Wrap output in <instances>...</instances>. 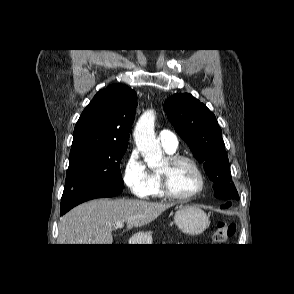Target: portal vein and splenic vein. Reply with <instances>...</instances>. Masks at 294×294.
I'll return each instance as SVG.
<instances>
[{
  "label": "portal vein and splenic vein",
  "instance_id": "18ae733b",
  "mask_svg": "<svg viewBox=\"0 0 294 294\" xmlns=\"http://www.w3.org/2000/svg\"><path fill=\"white\" fill-rule=\"evenodd\" d=\"M124 227V222H117L116 223V228H123Z\"/></svg>",
  "mask_w": 294,
  "mask_h": 294
}]
</instances>
